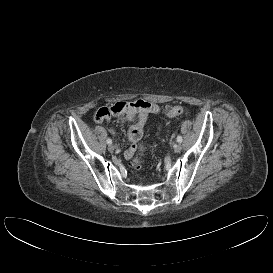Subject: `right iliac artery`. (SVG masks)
Instances as JSON below:
<instances>
[{
    "mask_svg": "<svg viewBox=\"0 0 273 273\" xmlns=\"http://www.w3.org/2000/svg\"><path fill=\"white\" fill-rule=\"evenodd\" d=\"M106 142H107V144H112V140H111L110 138H108V139L106 140Z\"/></svg>",
    "mask_w": 273,
    "mask_h": 273,
    "instance_id": "82829eb1",
    "label": "right iliac artery"
}]
</instances>
